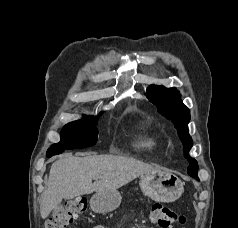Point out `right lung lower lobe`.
<instances>
[{
  "instance_id": "1",
  "label": "right lung lower lobe",
  "mask_w": 238,
  "mask_h": 228,
  "mask_svg": "<svg viewBox=\"0 0 238 228\" xmlns=\"http://www.w3.org/2000/svg\"><path fill=\"white\" fill-rule=\"evenodd\" d=\"M52 155L51 154H47V157H51Z\"/></svg>"
}]
</instances>
